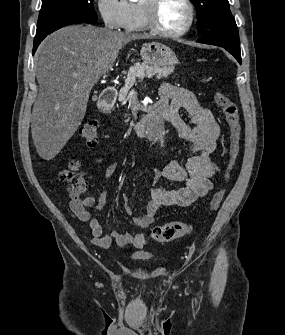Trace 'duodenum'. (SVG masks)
I'll list each match as a JSON object with an SVG mask.
<instances>
[{
	"mask_svg": "<svg viewBox=\"0 0 285 335\" xmlns=\"http://www.w3.org/2000/svg\"><path fill=\"white\" fill-rule=\"evenodd\" d=\"M117 97V89L114 87L106 88L98 101V107L101 111H108ZM175 115L174 110L167 102H161L158 106L151 108L147 116L140 119L134 126V134L142 136L146 130L148 121L151 118H157L161 121H171Z\"/></svg>",
	"mask_w": 285,
	"mask_h": 335,
	"instance_id": "obj_1",
	"label": "duodenum"
}]
</instances>
